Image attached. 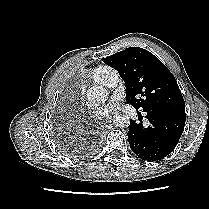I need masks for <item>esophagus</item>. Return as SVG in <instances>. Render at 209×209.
I'll use <instances>...</instances> for the list:
<instances>
[{
    "label": "esophagus",
    "mask_w": 209,
    "mask_h": 209,
    "mask_svg": "<svg viewBox=\"0 0 209 209\" xmlns=\"http://www.w3.org/2000/svg\"><path fill=\"white\" fill-rule=\"evenodd\" d=\"M112 119L105 121L103 124L106 125L108 122H111Z\"/></svg>",
    "instance_id": "34e87169"
}]
</instances>
